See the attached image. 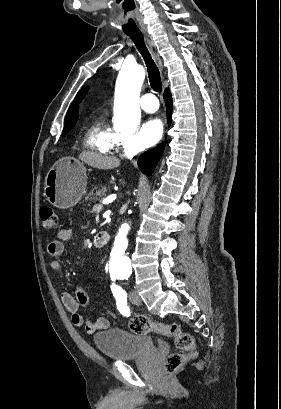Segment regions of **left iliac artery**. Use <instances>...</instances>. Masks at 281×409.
I'll list each match as a JSON object with an SVG mask.
<instances>
[{
	"label": "left iliac artery",
	"mask_w": 281,
	"mask_h": 409,
	"mask_svg": "<svg viewBox=\"0 0 281 409\" xmlns=\"http://www.w3.org/2000/svg\"><path fill=\"white\" fill-rule=\"evenodd\" d=\"M111 290L116 299V305L119 312L124 316H129L130 309L127 305V293L120 286L114 283L111 285Z\"/></svg>",
	"instance_id": "obj_1"
}]
</instances>
